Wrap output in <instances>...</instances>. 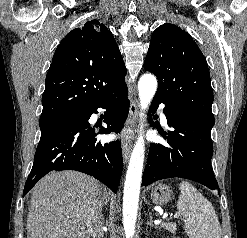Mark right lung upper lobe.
<instances>
[{"label":"right lung upper lobe","mask_w":247,"mask_h":238,"mask_svg":"<svg viewBox=\"0 0 247 238\" xmlns=\"http://www.w3.org/2000/svg\"><path fill=\"white\" fill-rule=\"evenodd\" d=\"M126 67L112 33L97 20L60 42L48 70L40 121L75 114L125 84Z\"/></svg>","instance_id":"1"}]
</instances>
